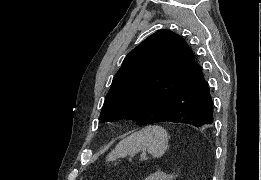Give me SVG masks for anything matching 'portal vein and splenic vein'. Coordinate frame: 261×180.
<instances>
[{"mask_svg": "<svg viewBox=\"0 0 261 180\" xmlns=\"http://www.w3.org/2000/svg\"><path fill=\"white\" fill-rule=\"evenodd\" d=\"M139 157H140V158H145V157H146V154H145V153H140V154H139Z\"/></svg>", "mask_w": 261, "mask_h": 180, "instance_id": "portal-vein-and-splenic-vein-1", "label": "portal vein and splenic vein"}]
</instances>
